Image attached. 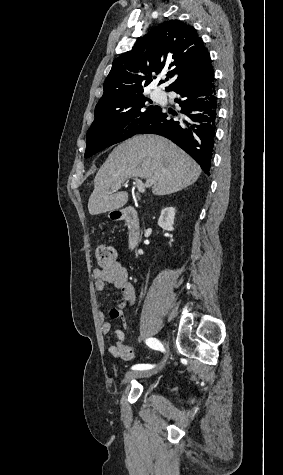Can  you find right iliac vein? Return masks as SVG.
<instances>
[{
    "mask_svg": "<svg viewBox=\"0 0 283 475\" xmlns=\"http://www.w3.org/2000/svg\"><path fill=\"white\" fill-rule=\"evenodd\" d=\"M166 356L163 358L162 360V363L155 367L154 369L152 370H145V371H129L126 375H125V378L123 379V383H126V382H129L131 379L133 378H137V377H149L151 375H154L156 374L159 370H161L163 368V366L165 365V360H166Z\"/></svg>",
    "mask_w": 283,
    "mask_h": 475,
    "instance_id": "obj_1",
    "label": "right iliac vein"
}]
</instances>
